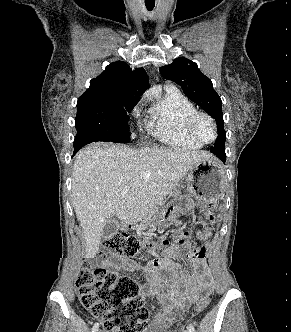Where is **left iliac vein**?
<instances>
[{
    "mask_svg": "<svg viewBox=\"0 0 291 332\" xmlns=\"http://www.w3.org/2000/svg\"><path fill=\"white\" fill-rule=\"evenodd\" d=\"M184 332H189V330H184Z\"/></svg>",
    "mask_w": 291,
    "mask_h": 332,
    "instance_id": "1",
    "label": "left iliac vein"
}]
</instances>
